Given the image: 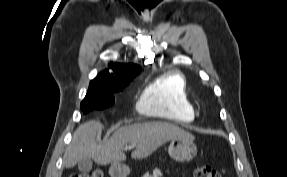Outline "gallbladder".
I'll list each match as a JSON object with an SVG mask.
<instances>
[{
  "mask_svg": "<svg viewBox=\"0 0 287 177\" xmlns=\"http://www.w3.org/2000/svg\"><path fill=\"white\" fill-rule=\"evenodd\" d=\"M92 160L89 157L83 158L78 162V169L81 172H89L92 169Z\"/></svg>",
  "mask_w": 287,
  "mask_h": 177,
  "instance_id": "obj_1",
  "label": "gallbladder"
}]
</instances>
